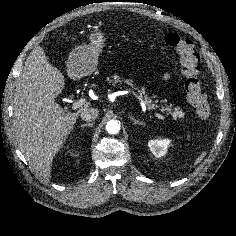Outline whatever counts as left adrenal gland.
<instances>
[{
	"label": "left adrenal gland",
	"instance_id": "obj_1",
	"mask_svg": "<svg viewBox=\"0 0 236 236\" xmlns=\"http://www.w3.org/2000/svg\"><path fill=\"white\" fill-rule=\"evenodd\" d=\"M129 118L133 121V124L134 125H144V122L143 121H140V120H137V119H135V117L134 116H132L131 114H129Z\"/></svg>",
	"mask_w": 236,
	"mask_h": 236
}]
</instances>
